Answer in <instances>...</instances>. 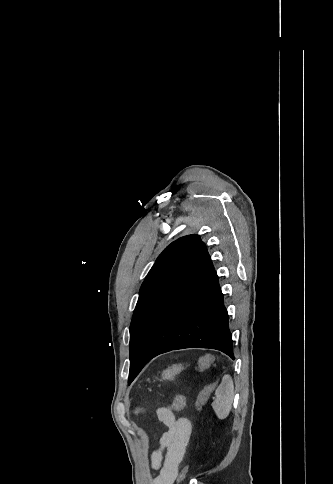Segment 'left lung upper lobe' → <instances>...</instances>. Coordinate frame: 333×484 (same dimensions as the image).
Masks as SVG:
<instances>
[{"label":"left lung upper lobe","mask_w":333,"mask_h":484,"mask_svg":"<svg viewBox=\"0 0 333 484\" xmlns=\"http://www.w3.org/2000/svg\"><path fill=\"white\" fill-rule=\"evenodd\" d=\"M202 247H204V243L198 235H188L172 242L157 258L140 288L139 299L132 317L130 325V357L157 303L183 267L189 263L192 255ZM142 368L141 364L138 366L130 364L128 382H132Z\"/></svg>","instance_id":"obj_1"}]
</instances>
